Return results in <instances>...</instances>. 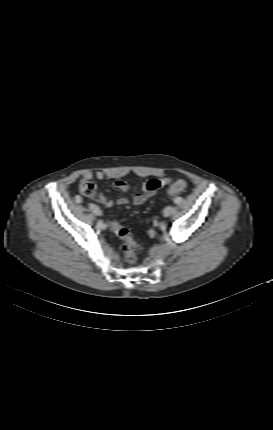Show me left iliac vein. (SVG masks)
<instances>
[{
    "instance_id": "4c4485c4",
    "label": "left iliac vein",
    "mask_w": 273,
    "mask_h": 430,
    "mask_svg": "<svg viewBox=\"0 0 273 430\" xmlns=\"http://www.w3.org/2000/svg\"><path fill=\"white\" fill-rule=\"evenodd\" d=\"M174 208L172 206H167L163 211V216L168 217L172 214Z\"/></svg>"
}]
</instances>
